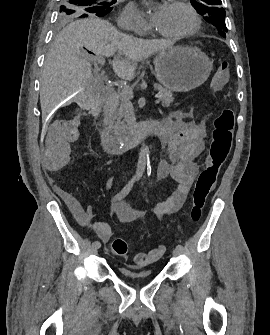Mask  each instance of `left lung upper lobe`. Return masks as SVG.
<instances>
[{
  "label": "left lung upper lobe",
  "mask_w": 270,
  "mask_h": 335,
  "mask_svg": "<svg viewBox=\"0 0 270 335\" xmlns=\"http://www.w3.org/2000/svg\"><path fill=\"white\" fill-rule=\"evenodd\" d=\"M197 11L211 23L219 34L226 37L227 27L225 24V10L220 6L221 0H191Z\"/></svg>",
  "instance_id": "obj_1"
}]
</instances>
